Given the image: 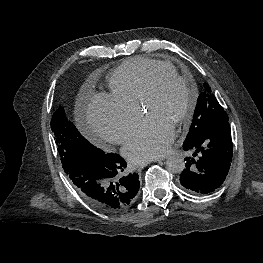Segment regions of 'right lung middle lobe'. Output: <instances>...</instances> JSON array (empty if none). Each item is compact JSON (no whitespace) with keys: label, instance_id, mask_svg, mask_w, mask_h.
<instances>
[{"label":"right lung middle lobe","instance_id":"right-lung-middle-lobe-1","mask_svg":"<svg viewBox=\"0 0 263 263\" xmlns=\"http://www.w3.org/2000/svg\"><path fill=\"white\" fill-rule=\"evenodd\" d=\"M51 128L65 173L82 157H101L105 154L78 132L75 125L67 119L62 106L53 114Z\"/></svg>","mask_w":263,"mask_h":263}]
</instances>
